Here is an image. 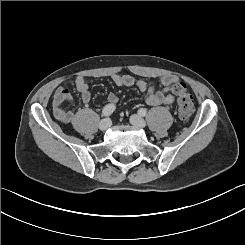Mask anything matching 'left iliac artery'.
I'll return each instance as SVG.
<instances>
[{"label": "left iliac artery", "instance_id": "obj_1", "mask_svg": "<svg viewBox=\"0 0 245 245\" xmlns=\"http://www.w3.org/2000/svg\"><path fill=\"white\" fill-rule=\"evenodd\" d=\"M138 113H139L141 116H145V115L147 114V111H146V109H144V108H140V109L138 110Z\"/></svg>", "mask_w": 245, "mask_h": 245}]
</instances>
